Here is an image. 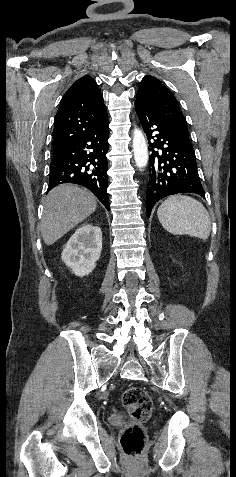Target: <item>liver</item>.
<instances>
[{"label":"liver","mask_w":236,"mask_h":477,"mask_svg":"<svg viewBox=\"0 0 236 477\" xmlns=\"http://www.w3.org/2000/svg\"><path fill=\"white\" fill-rule=\"evenodd\" d=\"M95 196L71 184L52 189L44 202L41 235L47 245L55 243L96 210Z\"/></svg>","instance_id":"obj_1"}]
</instances>
